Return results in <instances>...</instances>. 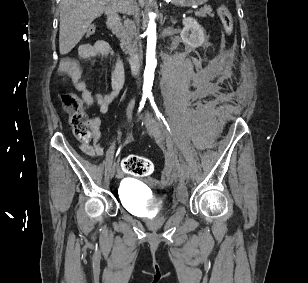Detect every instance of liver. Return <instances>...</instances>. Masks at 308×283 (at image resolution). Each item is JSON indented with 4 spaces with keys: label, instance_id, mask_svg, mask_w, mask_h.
Returning <instances> with one entry per match:
<instances>
[{
    "label": "liver",
    "instance_id": "liver-1",
    "mask_svg": "<svg viewBox=\"0 0 308 283\" xmlns=\"http://www.w3.org/2000/svg\"><path fill=\"white\" fill-rule=\"evenodd\" d=\"M133 0H61L60 54L69 53L82 39L90 24L103 13L126 12ZM143 4L144 0H140Z\"/></svg>",
    "mask_w": 308,
    "mask_h": 283
}]
</instances>
